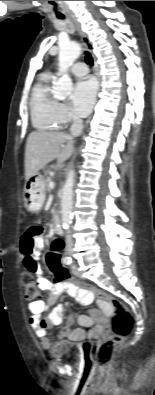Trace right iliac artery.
<instances>
[{
  "instance_id": "right-iliac-artery-1",
  "label": "right iliac artery",
  "mask_w": 155,
  "mask_h": 395,
  "mask_svg": "<svg viewBox=\"0 0 155 395\" xmlns=\"http://www.w3.org/2000/svg\"><path fill=\"white\" fill-rule=\"evenodd\" d=\"M63 263L66 265H69L72 263V259L70 257H64L63 258Z\"/></svg>"
}]
</instances>
